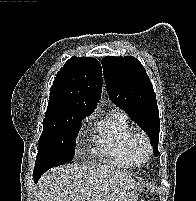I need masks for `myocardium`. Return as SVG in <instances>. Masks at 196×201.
I'll list each match as a JSON object with an SVG mask.
<instances>
[{
	"instance_id": "f54148a6",
	"label": "myocardium",
	"mask_w": 196,
	"mask_h": 201,
	"mask_svg": "<svg viewBox=\"0 0 196 201\" xmlns=\"http://www.w3.org/2000/svg\"><path fill=\"white\" fill-rule=\"evenodd\" d=\"M142 142L146 148V158L144 161H138L135 155V145L137 142ZM129 157L132 165L142 166L149 162L152 157L153 148L151 145V141L146 132L142 130H134L129 139Z\"/></svg>"
}]
</instances>
